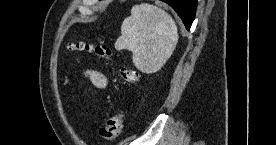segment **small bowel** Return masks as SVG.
<instances>
[{"label":"small bowel","instance_id":"c3829d8e","mask_svg":"<svg viewBox=\"0 0 276 145\" xmlns=\"http://www.w3.org/2000/svg\"><path fill=\"white\" fill-rule=\"evenodd\" d=\"M91 81L98 87L104 88L107 84L106 78L103 74L97 72V71H87L85 73Z\"/></svg>","mask_w":276,"mask_h":145}]
</instances>
